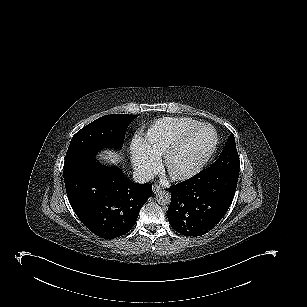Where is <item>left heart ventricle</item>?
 I'll return each mask as SVG.
<instances>
[{
	"mask_svg": "<svg viewBox=\"0 0 307 307\" xmlns=\"http://www.w3.org/2000/svg\"><path fill=\"white\" fill-rule=\"evenodd\" d=\"M199 139V142H195L196 139H194V142L191 140L189 143H186V145H183L180 148L181 151L179 152V154H177V156H175L176 159L173 158L175 161H170L171 164L169 165V167L172 172H185L195 167L197 162L200 160V157L202 156L200 155L201 147Z\"/></svg>",
	"mask_w": 307,
	"mask_h": 307,
	"instance_id": "1",
	"label": "left heart ventricle"
}]
</instances>
